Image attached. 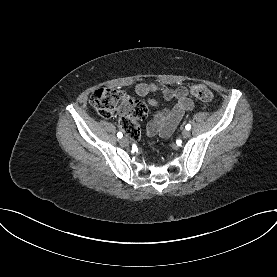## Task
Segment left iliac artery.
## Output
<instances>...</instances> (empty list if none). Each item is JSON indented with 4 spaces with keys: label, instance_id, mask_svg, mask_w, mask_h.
I'll list each match as a JSON object with an SVG mask.
<instances>
[{
    "label": "left iliac artery",
    "instance_id": "obj_1",
    "mask_svg": "<svg viewBox=\"0 0 277 277\" xmlns=\"http://www.w3.org/2000/svg\"><path fill=\"white\" fill-rule=\"evenodd\" d=\"M185 128H186V130H190V129H191V125H190V124H187V125L185 126Z\"/></svg>",
    "mask_w": 277,
    "mask_h": 277
}]
</instances>
